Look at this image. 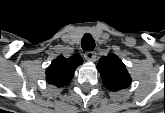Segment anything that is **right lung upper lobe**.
Here are the masks:
<instances>
[{
	"label": "right lung upper lobe",
	"mask_w": 165,
	"mask_h": 113,
	"mask_svg": "<svg viewBox=\"0 0 165 113\" xmlns=\"http://www.w3.org/2000/svg\"><path fill=\"white\" fill-rule=\"evenodd\" d=\"M73 59L64 58L63 56L54 59L46 71V79L49 83L61 86L69 81L70 77L73 76Z\"/></svg>",
	"instance_id": "1"
}]
</instances>
